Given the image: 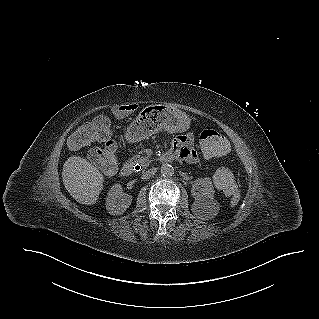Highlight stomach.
Here are the masks:
<instances>
[{"label": "stomach", "mask_w": 319, "mask_h": 319, "mask_svg": "<svg viewBox=\"0 0 319 319\" xmlns=\"http://www.w3.org/2000/svg\"><path fill=\"white\" fill-rule=\"evenodd\" d=\"M190 128V118L171 105H153L144 108L127 127V135L134 142L165 129L170 133L186 132Z\"/></svg>", "instance_id": "1"}]
</instances>
